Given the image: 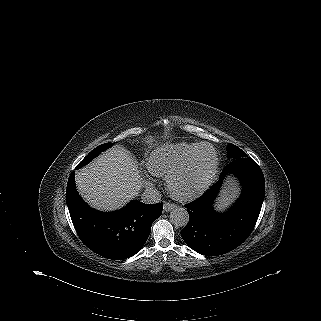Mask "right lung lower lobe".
I'll use <instances>...</instances> for the list:
<instances>
[{
    "mask_svg": "<svg viewBox=\"0 0 321 321\" xmlns=\"http://www.w3.org/2000/svg\"><path fill=\"white\" fill-rule=\"evenodd\" d=\"M70 174L66 202L71 220L81 241L108 259L123 260L135 255L149 237L152 223L161 216L163 205L131 201L114 212H100L80 197Z\"/></svg>",
    "mask_w": 321,
    "mask_h": 321,
    "instance_id": "98d812e1",
    "label": "right lung lower lobe"
}]
</instances>
